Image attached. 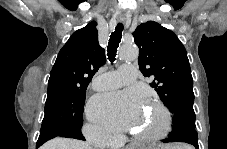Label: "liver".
Listing matches in <instances>:
<instances>
[{
  "mask_svg": "<svg viewBox=\"0 0 227 149\" xmlns=\"http://www.w3.org/2000/svg\"><path fill=\"white\" fill-rule=\"evenodd\" d=\"M170 147L165 146V148ZM41 149H92V147L86 142L58 137L45 143Z\"/></svg>",
  "mask_w": 227,
  "mask_h": 149,
  "instance_id": "obj_1",
  "label": "liver"
}]
</instances>
